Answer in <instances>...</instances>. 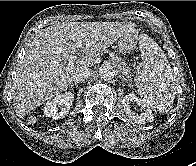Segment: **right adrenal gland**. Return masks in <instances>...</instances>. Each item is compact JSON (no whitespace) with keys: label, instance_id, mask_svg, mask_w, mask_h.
<instances>
[{"label":"right adrenal gland","instance_id":"2a0ac1e0","mask_svg":"<svg viewBox=\"0 0 196 166\" xmlns=\"http://www.w3.org/2000/svg\"><path fill=\"white\" fill-rule=\"evenodd\" d=\"M75 86H78V84H77V83H75Z\"/></svg>","mask_w":196,"mask_h":166}]
</instances>
